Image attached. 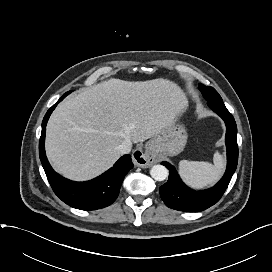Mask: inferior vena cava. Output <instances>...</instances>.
<instances>
[{
	"label": "inferior vena cava",
	"mask_w": 272,
	"mask_h": 272,
	"mask_svg": "<svg viewBox=\"0 0 272 272\" xmlns=\"http://www.w3.org/2000/svg\"><path fill=\"white\" fill-rule=\"evenodd\" d=\"M132 148V143L130 140L123 141L118 147L117 150L120 152V154H128L130 153Z\"/></svg>",
	"instance_id": "inferior-vena-cava-1"
}]
</instances>
